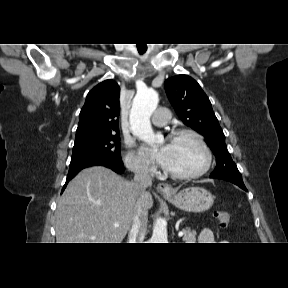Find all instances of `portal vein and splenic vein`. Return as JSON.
Listing matches in <instances>:
<instances>
[{
  "instance_id": "1",
  "label": "portal vein and splenic vein",
  "mask_w": 288,
  "mask_h": 288,
  "mask_svg": "<svg viewBox=\"0 0 288 288\" xmlns=\"http://www.w3.org/2000/svg\"><path fill=\"white\" fill-rule=\"evenodd\" d=\"M114 226H115V227H119V224L116 223V224H114ZM183 234H184L183 231H180V232L178 233V236H179V237H182Z\"/></svg>"
}]
</instances>
